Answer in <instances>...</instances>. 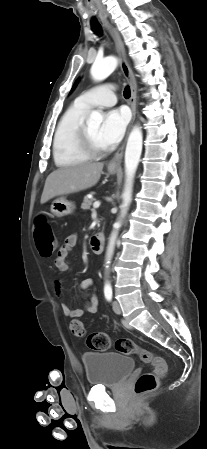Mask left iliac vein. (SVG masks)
<instances>
[{"mask_svg":"<svg viewBox=\"0 0 207 449\" xmlns=\"http://www.w3.org/2000/svg\"><path fill=\"white\" fill-rule=\"evenodd\" d=\"M112 307H113V311L116 314H121V307H120V304H119L118 301H114L113 304H112Z\"/></svg>","mask_w":207,"mask_h":449,"instance_id":"4c4485c4","label":"left iliac vein"}]
</instances>
